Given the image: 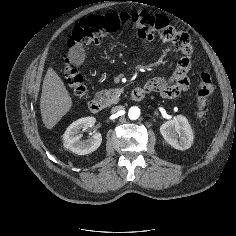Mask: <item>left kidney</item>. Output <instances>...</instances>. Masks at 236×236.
<instances>
[{
    "instance_id": "1",
    "label": "left kidney",
    "mask_w": 236,
    "mask_h": 236,
    "mask_svg": "<svg viewBox=\"0 0 236 236\" xmlns=\"http://www.w3.org/2000/svg\"><path fill=\"white\" fill-rule=\"evenodd\" d=\"M160 133L167 143L178 150L189 149L193 143V132L186 117L179 115L165 122Z\"/></svg>"
}]
</instances>
